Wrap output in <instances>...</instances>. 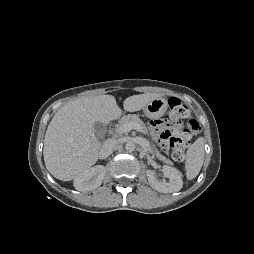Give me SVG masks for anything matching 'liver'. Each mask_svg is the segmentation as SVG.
I'll use <instances>...</instances> for the list:
<instances>
[{"label":"liver","instance_id":"1","mask_svg":"<svg viewBox=\"0 0 254 254\" xmlns=\"http://www.w3.org/2000/svg\"><path fill=\"white\" fill-rule=\"evenodd\" d=\"M159 94L133 95L123 102L124 110L143 109ZM122 115L112 95L79 98L70 101L53 116L46 130L43 156L47 170L57 179L70 181L91 168L98 160L101 143L94 125L117 120Z\"/></svg>","mask_w":254,"mask_h":254}]
</instances>
